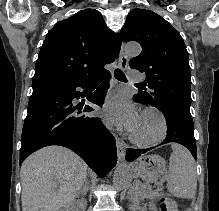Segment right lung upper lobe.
<instances>
[{
  "label": "right lung upper lobe",
  "mask_w": 219,
  "mask_h": 211,
  "mask_svg": "<svg viewBox=\"0 0 219 211\" xmlns=\"http://www.w3.org/2000/svg\"><path fill=\"white\" fill-rule=\"evenodd\" d=\"M120 47V35L108 29L99 11L81 10L48 32L33 81L94 78L114 61Z\"/></svg>",
  "instance_id": "1"
}]
</instances>
